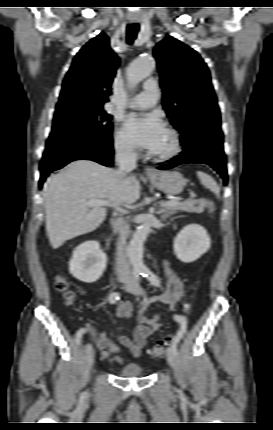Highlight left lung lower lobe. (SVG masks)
Masks as SVG:
<instances>
[{
  "label": "left lung lower lobe",
  "mask_w": 273,
  "mask_h": 430,
  "mask_svg": "<svg viewBox=\"0 0 273 430\" xmlns=\"http://www.w3.org/2000/svg\"><path fill=\"white\" fill-rule=\"evenodd\" d=\"M183 152L168 160L170 164L158 167V169H171L184 163H204L213 167L227 184L225 154L223 151V133L218 123L205 121L197 127L189 129L180 136Z\"/></svg>",
  "instance_id": "left-lung-lower-lobe-1"
}]
</instances>
